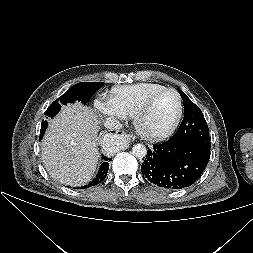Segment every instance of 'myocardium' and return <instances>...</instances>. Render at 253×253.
<instances>
[{"instance_id":"1","label":"myocardium","mask_w":253,"mask_h":253,"mask_svg":"<svg viewBox=\"0 0 253 253\" xmlns=\"http://www.w3.org/2000/svg\"><path fill=\"white\" fill-rule=\"evenodd\" d=\"M166 92H172L175 94L177 99V113L172 121V123L163 131L159 133H148L144 131L141 127V119L145 115V113L149 110L152 103L156 100L157 97L160 95L166 93ZM183 113V105H182V98L179 94V92L174 88H163L157 92H154L153 94L149 95L147 98L144 99L140 107L137 109L136 113L133 116V125L136 129V131L145 139L151 140V141H158L162 140L166 137H168L178 126L180 119L182 117Z\"/></svg>"}]
</instances>
